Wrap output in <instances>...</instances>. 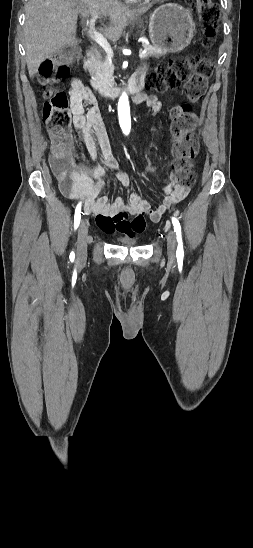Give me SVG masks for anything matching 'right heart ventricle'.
Masks as SVG:
<instances>
[{
  "instance_id": "obj_1",
  "label": "right heart ventricle",
  "mask_w": 253,
  "mask_h": 548,
  "mask_svg": "<svg viewBox=\"0 0 253 548\" xmlns=\"http://www.w3.org/2000/svg\"><path fill=\"white\" fill-rule=\"evenodd\" d=\"M127 1H132V2H135V1H137V0H127Z\"/></svg>"
}]
</instances>
